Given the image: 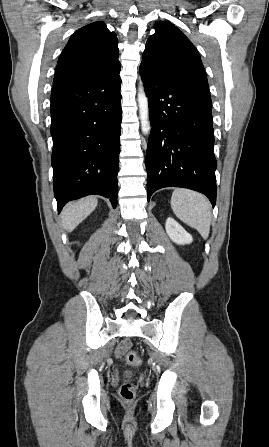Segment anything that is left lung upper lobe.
Returning a JSON list of instances; mask_svg holds the SVG:
<instances>
[{
    "mask_svg": "<svg viewBox=\"0 0 269 447\" xmlns=\"http://www.w3.org/2000/svg\"><path fill=\"white\" fill-rule=\"evenodd\" d=\"M146 43L142 63L151 69L193 85L209 97V87L200 55L190 40L173 24L159 22Z\"/></svg>",
    "mask_w": 269,
    "mask_h": 447,
    "instance_id": "left-lung-upper-lobe-1",
    "label": "left lung upper lobe"
}]
</instances>
